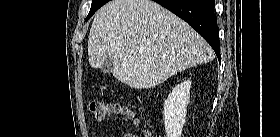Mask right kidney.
<instances>
[{
  "instance_id": "1",
  "label": "right kidney",
  "mask_w": 280,
  "mask_h": 137,
  "mask_svg": "<svg viewBox=\"0 0 280 137\" xmlns=\"http://www.w3.org/2000/svg\"><path fill=\"white\" fill-rule=\"evenodd\" d=\"M191 81L177 85L164 102V125L167 137H181L190 99Z\"/></svg>"
}]
</instances>
